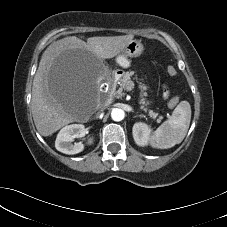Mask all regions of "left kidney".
<instances>
[{"instance_id": "left-kidney-1", "label": "left kidney", "mask_w": 227, "mask_h": 227, "mask_svg": "<svg viewBox=\"0 0 227 227\" xmlns=\"http://www.w3.org/2000/svg\"><path fill=\"white\" fill-rule=\"evenodd\" d=\"M132 131L137 145L144 147L148 144L151 128L147 124L142 122L135 123Z\"/></svg>"}]
</instances>
